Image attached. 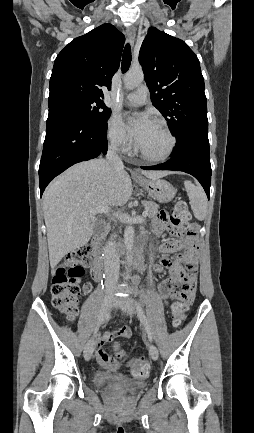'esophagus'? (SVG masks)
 Masks as SVG:
<instances>
[{
	"instance_id": "34e87169",
	"label": "esophagus",
	"mask_w": 254,
	"mask_h": 433,
	"mask_svg": "<svg viewBox=\"0 0 254 433\" xmlns=\"http://www.w3.org/2000/svg\"><path fill=\"white\" fill-rule=\"evenodd\" d=\"M126 35L130 44L133 46L135 42L136 30L133 26H128L126 29Z\"/></svg>"
}]
</instances>
